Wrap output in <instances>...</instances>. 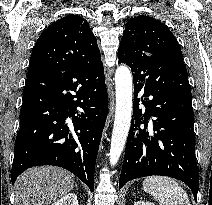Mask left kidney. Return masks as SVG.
Returning a JSON list of instances; mask_svg holds the SVG:
<instances>
[{"label": "left kidney", "mask_w": 212, "mask_h": 205, "mask_svg": "<svg viewBox=\"0 0 212 205\" xmlns=\"http://www.w3.org/2000/svg\"><path fill=\"white\" fill-rule=\"evenodd\" d=\"M134 205H155L154 203H151V202H145V201H137L135 202Z\"/></svg>", "instance_id": "1"}]
</instances>
